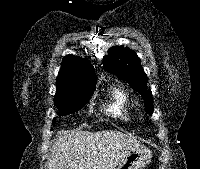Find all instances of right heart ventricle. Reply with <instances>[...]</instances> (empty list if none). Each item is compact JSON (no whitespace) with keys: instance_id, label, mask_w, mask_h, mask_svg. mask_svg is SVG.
<instances>
[{"instance_id":"obj_1","label":"right heart ventricle","mask_w":200,"mask_h":169,"mask_svg":"<svg viewBox=\"0 0 200 169\" xmlns=\"http://www.w3.org/2000/svg\"><path fill=\"white\" fill-rule=\"evenodd\" d=\"M104 110L109 116L127 122L130 118V101L125 90L119 86L111 87Z\"/></svg>"}]
</instances>
